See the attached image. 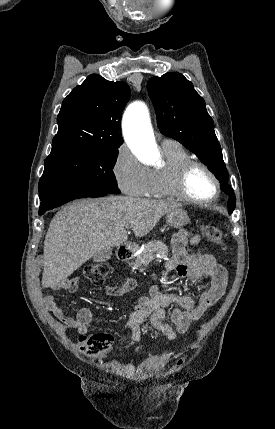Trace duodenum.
I'll list each match as a JSON object with an SVG mask.
<instances>
[{"label":"duodenum","mask_w":275,"mask_h":429,"mask_svg":"<svg viewBox=\"0 0 275 429\" xmlns=\"http://www.w3.org/2000/svg\"><path fill=\"white\" fill-rule=\"evenodd\" d=\"M133 246L130 244L121 245L118 248V258L121 261H127L132 257Z\"/></svg>","instance_id":"410a0bca"}]
</instances>
